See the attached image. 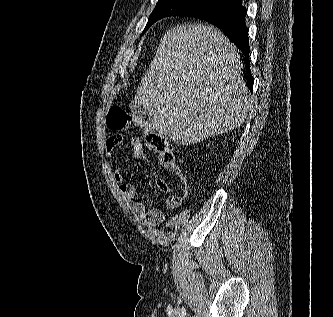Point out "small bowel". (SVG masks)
<instances>
[{
  "instance_id": "1",
  "label": "small bowel",
  "mask_w": 333,
  "mask_h": 317,
  "mask_svg": "<svg viewBox=\"0 0 333 317\" xmlns=\"http://www.w3.org/2000/svg\"><path fill=\"white\" fill-rule=\"evenodd\" d=\"M123 141L124 138L121 134H115L109 137L105 143V150L107 156L111 157L112 153L119 145L123 143ZM129 142L133 148L135 156L138 158H144L145 153L139 137L136 135H132L129 137ZM115 179L118 183L120 193L124 198L127 199L129 208L135 217L144 220V222L149 226L160 225L165 220V214L161 209H147L145 204L138 199L135 185L127 181L121 171L118 169L115 171ZM156 184L161 192L166 194L171 193V187L163 178L157 176ZM181 203V197L177 195H170L167 198L166 206L170 210H176L180 207Z\"/></svg>"
}]
</instances>
